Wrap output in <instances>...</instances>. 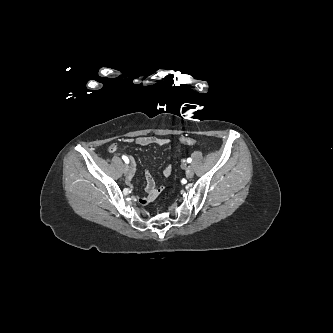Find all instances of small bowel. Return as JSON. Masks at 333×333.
Returning <instances> with one entry per match:
<instances>
[{"mask_svg": "<svg viewBox=\"0 0 333 333\" xmlns=\"http://www.w3.org/2000/svg\"><path fill=\"white\" fill-rule=\"evenodd\" d=\"M129 141H133L135 142L137 145H140V146H147V145H157V146H165L168 144V140L166 138H163V137H160V136H140V137H137L135 139H129ZM118 149V146L117 144H111L109 146V151L111 153H115ZM132 162H133V159H132ZM133 167L131 169V172L127 178V180L130 182L131 179H132V175H133ZM172 174V167L170 165H168L165 169H164V176L166 178H169ZM163 186L160 185L158 186L152 175L149 173V172H146V192H147V195L146 196H143V197H140L139 198V202L142 204V205H147L149 203H151L153 200L156 199V197L162 192L163 190Z\"/></svg>", "mask_w": 333, "mask_h": 333, "instance_id": "obj_1", "label": "small bowel"}]
</instances>
